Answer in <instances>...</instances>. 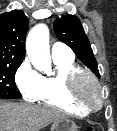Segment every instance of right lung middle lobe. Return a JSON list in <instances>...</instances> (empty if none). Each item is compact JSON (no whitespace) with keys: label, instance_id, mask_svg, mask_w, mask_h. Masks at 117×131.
<instances>
[{"label":"right lung middle lobe","instance_id":"right-lung-middle-lobe-1","mask_svg":"<svg viewBox=\"0 0 117 131\" xmlns=\"http://www.w3.org/2000/svg\"><path fill=\"white\" fill-rule=\"evenodd\" d=\"M21 63H0V98L17 99L21 94L16 87L14 76Z\"/></svg>","mask_w":117,"mask_h":131}]
</instances>
